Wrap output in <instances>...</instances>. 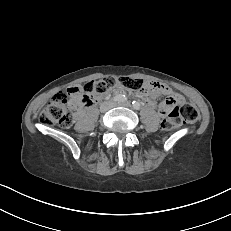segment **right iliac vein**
<instances>
[{
  "mask_svg": "<svg viewBox=\"0 0 231 231\" xmlns=\"http://www.w3.org/2000/svg\"><path fill=\"white\" fill-rule=\"evenodd\" d=\"M111 107H113V104H109V105H108V108H111Z\"/></svg>",
  "mask_w": 231,
  "mask_h": 231,
  "instance_id": "right-iliac-vein-1",
  "label": "right iliac vein"
}]
</instances>
